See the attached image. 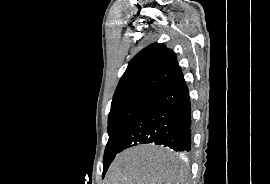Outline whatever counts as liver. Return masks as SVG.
<instances>
[{"label":"liver","instance_id":"1","mask_svg":"<svg viewBox=\"0 0 270 184\" xmlns=\"http://www.w3.org/2000/svg\"><path fill=\"white\" fill-rule=\"evenodd\" d=\"M107 184H188V173L177 168L170 153L151 144L131 147L110 165Z\"/></svg>","mask_w":270,"mask_h":184}]
</instances>
